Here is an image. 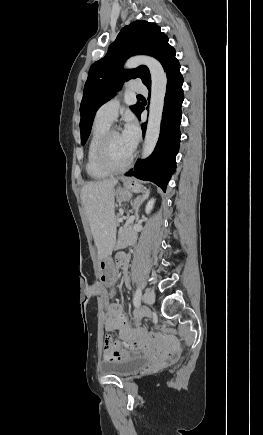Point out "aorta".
<instances>
[{
  "instance_id": "obj_1",
  "label": "aorta",
  "mask_w": 263,
  "mask_h": 435,
  "mask_svg": "<svg viewBox=\"0 0 263 435\" xmlns=\"http://www.w3.org/2000/svg\"><path fill=\"white\" fill-rule=\"evenodd\" d=\"M141 64L148 67L151 75L149 117L141 154V157L144 159L152 154L159 138L167 77L160 62L149 56L132 57L126 62L125 67L135 68Z\"/></svg>"
}]
</instances>
